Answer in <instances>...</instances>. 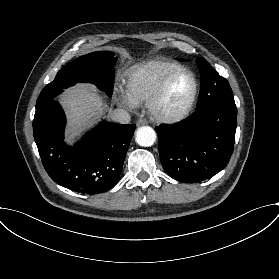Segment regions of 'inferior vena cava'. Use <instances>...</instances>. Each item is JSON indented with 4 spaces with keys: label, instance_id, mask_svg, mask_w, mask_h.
Instances as JSON below:
<instances>
[{
    "label": "inferior vena cava",
    "instance_id": "inferior-vena-cava-1",
    "mask_svg": "<svg viewBox=\"0 0 279 279\" xmlns=\"http://www.w3.org/2000/svg\"><path fill=\"white\" fill-rule=\"evenodd\" d=\"M110 117L113 121L121 123V124H128L130 123V115L127 111L123 109H115L110 113Z\"/></svg>",
    "mask_w": 279,
    "mask_h": 279
}]
</instances>
